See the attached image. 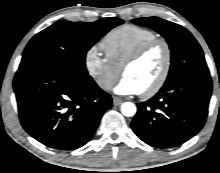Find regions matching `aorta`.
Masks as SVG:
<instances>
[{
  "mask_svg": "<svg viewBox=\"0 0 220 173\" xmlns=\"http://www.w3.org/2000/svg\"><path fill=\"white\" fill-rule=\"evenodd\" d=\"M121 112L126 117L134 116L136 113V106L132 102H125L121 106Z\"/></svg>",
  "mask_w": 220,
  "mask_h": 173,
  "instance_id": "aorta-1",
  "label": "aorta"
}]
</instances>
